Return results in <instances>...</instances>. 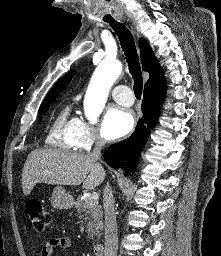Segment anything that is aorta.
<instances>
[{"label":"aorta","mask_w":221,"mask_h":256,"mask_svg":"<svg viewBox=\"0 0 221 256\" xmlns=\"http://www.w3.org/2000/svg\"><path fill=\"white\" fill-rule=\"evenodd\" d=\"M122 71V64L117 60H104L96 68L89 83L85 99V115L93 122L102 112L108 93Z\"/></svg>","instance_id":"obj_1"}]
</instances>
